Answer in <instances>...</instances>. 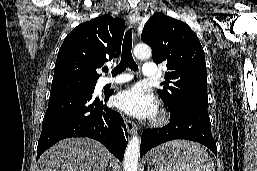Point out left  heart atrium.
Instances as JSON below:
<instances>
[{
    "instance_id": "1",
    "label": "left heart atrium",
    "mask_w": 257,
    "mask_h": 171,
    "mask_svg": "<svg viewBox=\"0 0 257 171\" xmlns=\"http://www.w3.org/2000/svg\"><path fill=\"white\" fill-rule=\"evenodd\" d=\"M114 104L126 114L138 118H151L157 111L156 99L141 86L121 91L115 97Z\"/></svg>"
}]
</instances>
